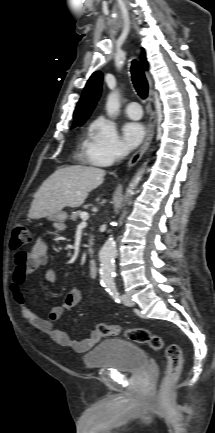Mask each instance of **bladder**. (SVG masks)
<instances>
[{
  "mask_svg": "<svg viewBox=\"0 0 215 433\" xmlns=\"http://www.w3.org/2000/svg\"><path fill=\"white\" fill-rule=\"evenodd\" d=\"M87 368L111 369L135 373L148 365L147 354L137 345L122 339H106L98 343L84 358Z\"/></svg>",
  "mask_w": 215,
  "mask_h": 433,
  "instance_id": "obj_1",
  "label": "bladder"
}]
</instances>
